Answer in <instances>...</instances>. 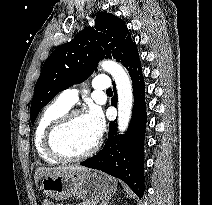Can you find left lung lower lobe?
<instances>
[{
  "mask_svg": "<svg viewBox=\"0 0 212 205\" xmlns=\"http://www.w3.org/2000/svg\"><path fill=\"white\" fill-rule=\"evenodd\" d=\"M123 66L133 83L134 106L129 128L125 134L117 135L115 121L110 122L104 148L80 164L123 180L141 198L144 194L143 148L147 117L144 78L135 42ZM114 92L116 94L115 84Z\"/></svg>",
  "mask_w": 212,
  "mask_h": 205,
  "instance_id": "obj_1",
  "label": "left lung lower lobe"
}]
</instances>
